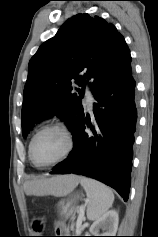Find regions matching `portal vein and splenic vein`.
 I'll use <instances>...</instances> for the list:
<instances>
[{"mask_svg": "<svg viewBox=\"0 0 158 237\" xmlns=\"http://www.w3.org/2000/svg\"><path fill=\"white\" fill-rule=\"evenodd\" d=\"M83 220H84V206L81 207L79 210V216L77 219V228L78 229L81 227Z\"/></svg>", "mask_w": 158, "mask_h": 237, "instance_id": "portal-vein-and-splenic-vein-1", "label": "portal vein and splenic vein"}]
</instances>
